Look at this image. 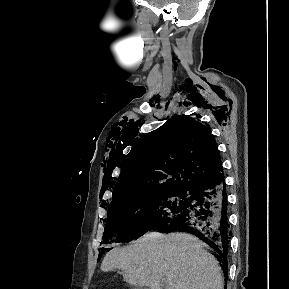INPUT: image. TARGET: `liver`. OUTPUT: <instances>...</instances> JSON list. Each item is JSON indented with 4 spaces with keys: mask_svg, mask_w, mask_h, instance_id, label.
Returning a JSON list of instances; mask_svg holds the SVG:
<instances>
[{
    "mask_svg": "<svg viewBox=\"0 0 289 289\" xmlns=\"http://www.w3.org/2000/svg\"><path fill=\"white\" fill-rule=\"evenodd\" d=\"M123 271L135 289H223L221 268L215 257L194 236L149 232L133 244L113 249L101 270Z\"/></svg>",
    "mask_w": 289,
    "mask_h": 289,
    "instance_id": "obj_1",
    "label": "liver"
}]
</instances>
